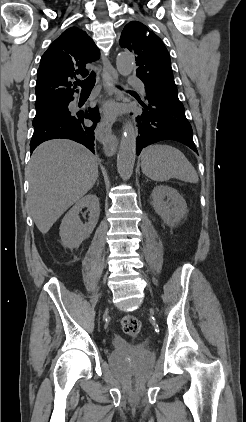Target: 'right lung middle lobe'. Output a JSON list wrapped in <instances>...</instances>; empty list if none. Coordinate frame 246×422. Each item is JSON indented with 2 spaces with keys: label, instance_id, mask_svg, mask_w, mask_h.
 Wrapping results in <instances>:
<instances>
[{
  "label": "right lung middle lobe",
  "instance_id": "dd1d6c3e",
  "mask_svg": "<svg viewBox=\"0 0 246 422\" xmlns=\"http://www.w3.org/2000/svg\"><path fill=\"white\" fill-rule=\"evenodd\" d=\"M68 112L69 110H68L67 101L62 102V103H57V104H54L42 109H37L36 115H35V118L33 119L32 124L51 118V117L61 116Z\"/></svg>",
  "mask_w": 246,
  "mask_h": 422
}]
</instances>
